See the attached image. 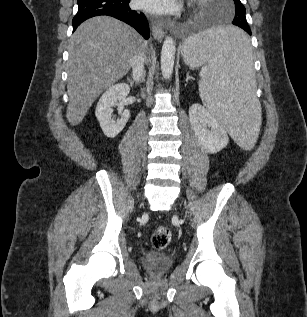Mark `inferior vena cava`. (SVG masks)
I'll list each match as a JSON object with an SVG mask.
<instances>
[{"label": "inferior vena cava", "mask_w": 307, "mask_h": 317, "mask_svg": "<svg viewBox=\"0 0 307 317\" xmlns=\"http://www.w3.org/2000/svg\"><path fill=\"white\" fill-rule=\"evenodd\" d=\"M144 61L145 56L143 53L133 57L130 61L132 67V75L135 81H140L144 74Z\"/></svg>", "instance_id": "602c4592"}]
</instances>
